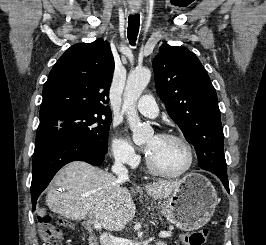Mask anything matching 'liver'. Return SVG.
<instances>
[{
    "label": "liver",
    "mask_w": 266,
    "mask_h": 245,
    "mask_svg": "<svg viewBox=\"0 0 266 245\" xmlns=\"http://www.w3.org/2000/svg\"><path fill=\"white\" fill-rule=\"evenodd\" d=\"M122 183L125 181H118L107 171L74 161L54 177L55 187L47 193V207L72 221H81L90 213L103 229L122 231L136 213L132 195L121 187ZM179 185L180 181H159L145 185V191L153 199H167ZM135 191L132 189V193Z\"/></svg>",
    "instance_id": "liver-1"
}]
</instances>
